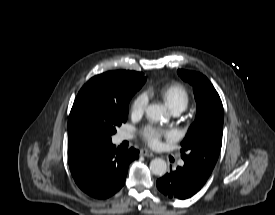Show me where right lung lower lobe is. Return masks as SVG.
I'll use <instances>...</instances> for the list:
<instances>
[{
	"label": "right lung lower lobe",
	"instance_id": "right-lung-lower-lobe-1",
	"mask_svg": "<svg viewBox=\"0 0 275 215\" xmlns=\"http://www.w3.org/2000/svg\"><path fill=\"white\" fill-rule=\"evenodd\" d=\"M138 157V150L119 152L111 141L68 147L69 167L76 184L96 199H106L119 191L130 162Z\"/></svg>",
	"mask_w": 275,
	"mask_h": 215
}]
</instances>
